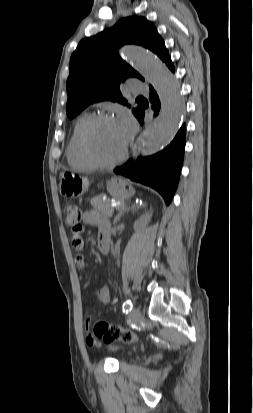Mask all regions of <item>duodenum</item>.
I'll list each match as a JSON object with an SVG mask.
<instances>
[{
  "label": "duodenum",
  "instance_id": "1",
  "mask_svg": "<svg viewBox=\"0 0 253 413\" xmlns=\"http://www.w3.org/2000/svg\"><path fill=\"white\" fill-rule=\"evenodd\" d=\"M110 248V235L107 232L101 233L98 239V249L102 254H107Z\"/></svg>",
  "mask_w": 253,
  "mask_h": 413
}]
</instances>
